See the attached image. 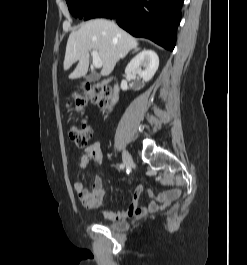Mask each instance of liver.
Instances as JSON below:
<instances>
[{"mask_svg":"<svg viewBox=\"0 0 247 265\" xmlns=\"http://www.w3.org/2000/svg\"><path fill=\"white\" fill-rule=\"evenodd\" d=\"M137 46V40L114 22L106 19L91 20L70 34L66 45L64 70L79 61L69 79L85 76L89 68V53L96 50L103 62L101 75L107 76L111 74L116 63Z\"/></svg>","mask_w":247,"mask_h":265,"instance_id":"obj_1","label":"liver"}]
</instances>
